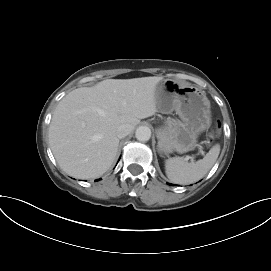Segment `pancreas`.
Here are the masks:
<instances>
[{
  "instance_id": "obj_1",
  "label": "pancreas",
  "mask_w": 271,
  "mask_h": 271,
  "mask_svg": "<svg viewBox=\"0 0 271 271\" xmlns=\"http://www.w3.org/2000/svg\"><path fill=\"white\" fill-rule=\"evenodd\" d=\"M169 124H171L172 123V120L171 119H168V121H167Z\"/></svg>"
}]
</instances>
